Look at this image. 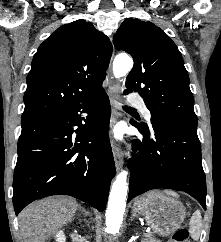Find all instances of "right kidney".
Segmentation results:
<instances>
[{
    "mask_svg": "<svg viewBox=\"0 0 221 242\" xmlns=\"http://www.w3.org/2000/svg\"><path fill=\"white\" fill-rule=\"evenodd\" d=\"M56 242H65L66 237L62 230L58 231L55 235Z\"/></svg>",
    "mask_w": 221,
    "mask_h": 242,
    "instance_id": "1",
    "label": "right kidney"
}]
</instances>
